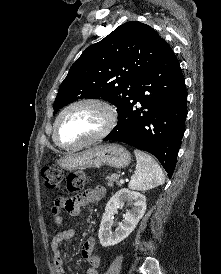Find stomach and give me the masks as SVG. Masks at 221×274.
<instances>
[{"label":"stomach","mask_w":221,"mask_h":274,"mask_svg":"<svg viewBox=\"0 0 221 274\" xmlns=\"http://www.w3.org/2000/svg\"><path fill=\"white\" fill-rule=\"evenodd\" d=\"M129 152L117 144L96 145L80 152H72L58 160V164L65 170L108 165L117 169L129 165Z\"/></svg>","instance_id":"0dacf381"}]
</instances>
